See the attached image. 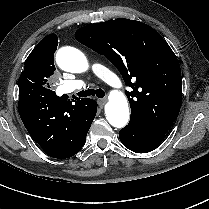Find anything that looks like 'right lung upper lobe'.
Instances as JSON below:
<instances>
[{
	"label": "right lung upper lobe",
	"mask_w": 209,
	"mask_h": 209,
	"mask_svg": "<svg viewBox=\"0 0 209 209\" xmlns=\"http://www.w3.org/2000/svg\"><path fill=\"white\" fill-rule=\"evenodd\" d=\"M43 45H49L57 49V36L54 33L47 35L41 40L37 47ZM59 101L67 106L69 110L65 111L56 120V123L73 129L76 134L83 133L90 128L96 114V102L94 100L89 98L79 100L76 98L70 101L62 96L59 97Z\"/></svg>",
	"instance_id": "cb5924a9"
}]
</instances>
